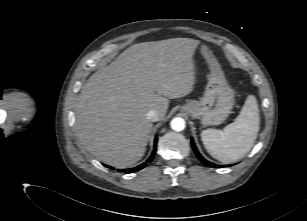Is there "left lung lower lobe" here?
Returning <instances> with one entry per match:
<instances>
[{
    "instance_id": "1",
    "label": "left lung lower lobe",
    "mask_w": 307,
    "mask_h": 221,
    "mask_svg": "<svg viewBox=\"0 0 307 221\" xmlns=\"http://www.w3.org/2000/svg\"><path fill=\"white\" fill-rule=\"evenodd\" d=\"M191 143H192V147H193V150L195 152V154L197 155V157L200 159V161L202 163H204L205 165L209 166V167H213V168H218V167H225L224 165H216L214 163H211L209 161H207L206 159H204L201 154L198 152L196 146H195V143L193 140H191ZM226 166H231V165H226Z\"/></svg>"
}]
</instances>
